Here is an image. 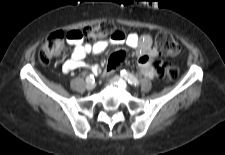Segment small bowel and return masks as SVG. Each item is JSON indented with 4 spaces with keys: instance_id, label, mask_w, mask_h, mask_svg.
<instances>
[{
    "instance_id": "c3829d8e",
    "label": "small bowel",
    "mask_w": 225,
    "mask_h": 155,
    "mask_svg": "<svg viewBox=\"0 0 225 155\" xmlns=\"http://www.w3.org/2000/svg\"><path fill=\"white\" fill-rule=\"evenodd\" d=\"M67 40L73 45L71 57L63 64L64 72H70L75 69L86 68L88 64L85 62L86 55L100 54L104 52L110 45L126 44L134 49L138 57L139 71L148 78H153L156 71L152 68V63L157 59L159 52L152 44L150 35H138L137 33L118 32L107 39L94 43L82 42V33L78 29H71L67 33ZM95 74L100 72L97 65L92 67ZM109 71V70H108Z\"/></svg>"
}]
</instances>
